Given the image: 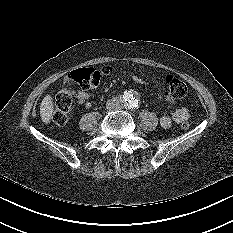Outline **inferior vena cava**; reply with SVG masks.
I'll use <instances>...</instances> for the list:
<instances>
[{"label":"inferior vena cava","instance_id":"1","mask_svg":"<svg viewBox=\"0 0 233 233\" xmlns=\"http://www.w3.org/2000/svg\"><path fill=\"white\" fill-rule=\"evenodd\" d=\"M107 109L109 110H120L123 107V104L120 100L118 99H111L107 102L106 105Z\"/></svg>","mask_w":233,"mask_h":233}]
</instances>
